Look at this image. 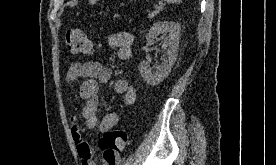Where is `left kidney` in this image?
Segmentation results:
<instances>
[{"label": "left kidney", "instance_id": "obj_1", "mask_svg": "<svg viewBox=\"0 0 276 165\" xmlns=\"http://www.w3.org/2000/svg\"><path fill=\"white\" fill-rule=\"evenodd\" d=\"M180 30L179 23L164 21L156 22L146 34V40L149 43H154L158 35H163V48L166 49V57L156 72H152L150 61H142L139 65L140 74L149 85L159 84L171 72L177 58Z\"/></svg>", "mask_w": 276, "mask_h": 165}]
</instances>
